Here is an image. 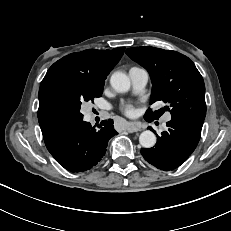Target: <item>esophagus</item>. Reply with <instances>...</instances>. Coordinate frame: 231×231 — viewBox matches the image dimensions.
Wrapping results in <instances>:
<instances>
[{
	"label": "esophagus",
	"instance_id": "esophagus-1",
	"mask_svg": "<svg viewBox=\"0 0 231 231\" xmlns=\"http://www.w3.org/2000/svg\"><path fill=\"white\" fill-rule=\"evenodd\" d=\"M125 130L129 133L140 131V128L134 124H128Z\"/></svg>",
	"mask_w": 231,
	"mask_h": 231
}]
</instances>
